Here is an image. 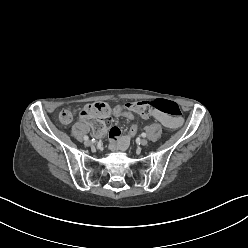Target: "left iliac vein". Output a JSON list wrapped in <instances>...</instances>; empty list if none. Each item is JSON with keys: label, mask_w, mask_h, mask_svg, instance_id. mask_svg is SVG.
<instances>
[{"label": "left iliac vein", "mask_w": 248, "mask_h": 248, "mask_svg": "<svg viewBox=\"0 0 248 248\" xmlns=\"http://www.w3.org/2000/svg\"><path fill=\"white\" fill-rule=\"evenodd\" d=\"M140 144H141L142 146H146V145L148 144V141H147L146 139H142V140L140 141Z\"/></svg>", "instance_id": "left-iliac-vein-1"}]
</instances>
